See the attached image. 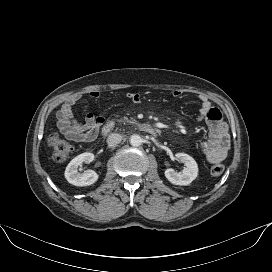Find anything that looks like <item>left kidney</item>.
<instances>
[{"label":"left kidney","instance_id":"1","mask_svg":"<svg viewBox=\"0 0 272 272\" xmlns=\"http://www.w3.org/2000/svg\"><path fill=\"white\" fill-rule=\"evenodd\" d=\"M176 159L186 166L181 173L175 172L172 168L166 169L165 177L174 185H189L198 175L196 161L186 153H177Z\"/></svg>","mask_w":272,"mask_h":272}]
</instances>
